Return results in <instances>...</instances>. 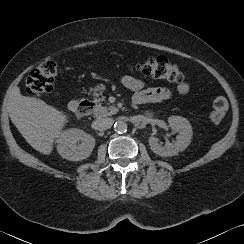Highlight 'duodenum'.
Here are the masks:
<instances>
[{
	"label": "duodenum",
	"mask_w": 244,
	"mask_h": 244,
	"mask_svg": "<svg viewBox=\"0 0 244 244\" xmlns=\"http://www.w3.org/2000/svg\"><path fill=\"white\" fill-rule=\"evenodd\" d=\"M68 109L72 112H80L82 114H87L94 109V104L89 101L74 99L69 102Z\"/></svg>",
	"instance_id": "1"
}]
</instances>
